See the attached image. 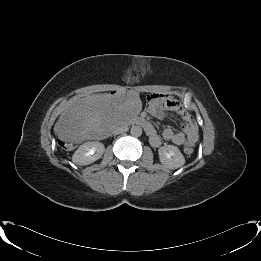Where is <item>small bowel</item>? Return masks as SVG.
I'll return each mask as SVG.
<instances>
[{"instance_id": "1", "label": "small bowel", "mask_w": 261, "mask_h": 261, "mask_svg": "<svg viewBox=\"0 0 261 261\" xmlns=\"http://www.w3.org/2000/svg\"><path fill=\"white\" fill-rule=\"evenodd\" d=\"M163 107L175 112L183 121V132H175L171 128H166L162 132L163 139L170 141L176 145H190L194 146L198 141V126L196 122L192 119L191 115L185 110V108L180 104V102L171 97L169 94H154L152 103L148 108V113L156 118L163 119L166 116ZM151 130L148 132L150 137V142L153 146H159L161 144V139L158 136L154 127L150 124Z\"/></svg>"}]
</instances>
